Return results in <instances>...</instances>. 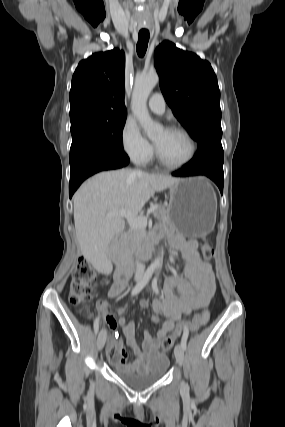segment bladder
<instances>
[{"label":"bladder","mask_w":285,"mask_h":427,"mask_svg":"<svg viewBox=\"0 0 285 427\" xmlns=\"http://www.w3.org/2000/svg\"><path fill=\"white\" fill-rule=\"evenodd\" d=\"M167 368V364H162L150 371L132 372L122 367H117L115 373L128 386L136 390H143L162 378Z\"/></svg>","instance_id":"31cf9c89"}]
</instances>
